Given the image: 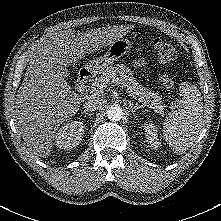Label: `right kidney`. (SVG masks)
Wrapping results in <instances>:
<instances>
[{
	"mask_svg": "<svg viewBox=\"0 0 221 221\" xmlns=\"http://www.w3.org/2000/svg\"><path fill=\"white\" fill-rule=\"evenodd\" d=\"M84 125L80 121L67 123L55 135V142L59 149L70 150L81 142Z\"/></svg>",
	"mask_w": 221,
	"mask_h": 221,
	"instance_id": "ca27d5eb",
	"label": "right kidney"
}]
</instances>
